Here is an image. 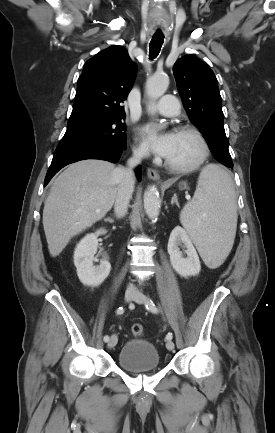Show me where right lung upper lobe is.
<instances>
[{"mask_svg": "<svg viewBox=\"0 0 275 433\" xmlns=\"http://www.w3.org/2000/svg\"><path fill=\"white\" fill-rule=\"evenodd\" d=\"M136 75L127 50L119 45L100 51L89 59L78 79L70 118L82 116L125 117L124 106Z\"/></svg>", "mask_w": 275, "mask_h": 433, "instance_id": "1", "label": "right lung upper lobe"}]
</instances>
